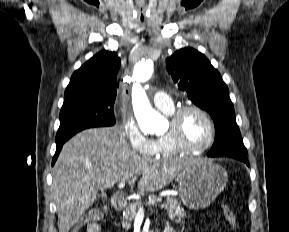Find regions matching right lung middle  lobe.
Instances as JSON below:
<instances>
[{"label": "right lung middle lobe", "mask_w": 289, "mask_h": 232, "mask_svg": "<svg viewBox=\"0 0 289 232\" xmlns=\"http://www.w3.org/2000/svg\"><path fill=\"white\" fill-rule=\"evenodd\" d=\"M115 97H77L65 101L60 112V127L56 144H63L77 132L93 127L115 124L113 106Z\"/></svg>", "instance_id": "dd1d6c3e"}]
</instances>
